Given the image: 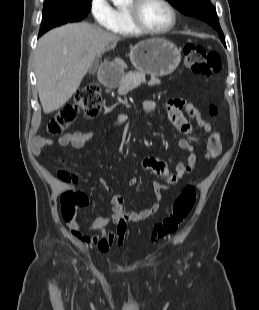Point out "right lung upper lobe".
Returning a JSON list of instances; mask_svg holds the SVG:
<instances>
[{"label":"right lung upper lobe","instance_id":"cb5924a9","mask_svg":"<svg viewBox=\"0 0 259 310\" xmlns=\"http://www.w3.org/2000/svg\"><path fill=\"white\" fill-rule=\"evenodd\" d=\"M54 1H61V0H44V3L54 2Z\"/></svg>","mask_w":259,"mask_h":310}]
</instances>
